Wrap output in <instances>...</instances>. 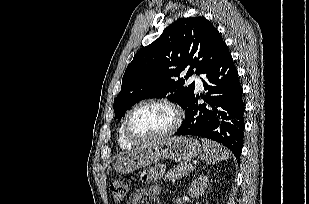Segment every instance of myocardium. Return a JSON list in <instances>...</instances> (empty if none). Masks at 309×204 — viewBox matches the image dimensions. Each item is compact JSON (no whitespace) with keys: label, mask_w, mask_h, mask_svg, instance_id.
Returning a JSON list of instances; mask_svg holds the SVG:
<instances>
[{"label":"myocardium","mask_w":309,"mask_h":204,"mask_svg":"<svg viewBox=\"0 0 309 204\" xmlns=\"http://www.w3.org/2000/svg\"><path fill=\"white\" fill-rule=\"evenodd\" d=\"M149 104H160V105H164V106L168 107L173 113V122L167 130H165L164 132L157 134L155 136H150V137L135 136L134 134L131 133L130 128H129L130 119H131L132 115L134 114V112H136L139 108H141L145 105H149ZM182 116L183 115H182V111H181L180 107L177 104H175L174 102H172L168 99H165V98L146 99V100H143V101L137 103L135 106H133L129 110V112L127 113V115L125 116V119L123 121V133H124L125 138L132 144H145V143L158 141V140H161L165 137H168V136L174 134L177 131V129L181 125Z\"/></svg>","instance_id":"1"}]
</instances>
